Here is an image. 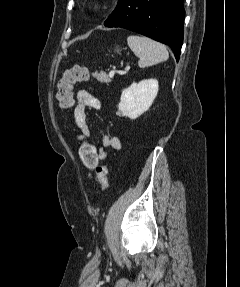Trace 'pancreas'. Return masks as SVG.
Returning <instances> with one entry per match:
<instances>
[{
	"instance_id": "pancreas-1",
	"label": "pancreas",
	"mask_w": 240,
	"mask_h": 287,
	"mask_svg": "<svg viewBox=\"0 0 240 287\" xmlns=\"http://www.w3.org/2000/svg\"><path fill=\"white\" fill-rule=\"evenodd\" d=\"M97 79V81L102 82V83H109L111 82L110 77L107 75L106 72H101V73H95L93 75Z\"/></svg>"
}]
</instances>
